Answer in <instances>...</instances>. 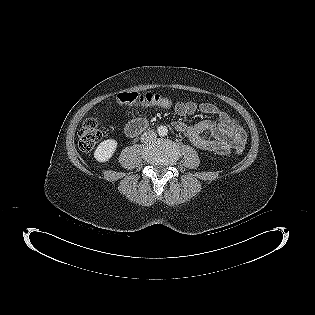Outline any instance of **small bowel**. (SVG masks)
Masks as SVG:
<instances>
[{
    "mask_svg": "<svg viewBox=\"0 0 315 315\" xmlns=\"http://www.w3.org/2000/svg\"><path fill=\"white\" fill-rule=\"evenodd\" d=\"M173 108L179 116L192 115L199 111L216 117L214 121L203 120L191 126L182 121L173 122L174 128L185 134L195 147L224 155L230 153L232 148L244 146L247 135L243 127L228 112L216 105L186 101L173 104Z\"/></svg>",
    "mask_w": 315,
    "mask_h": 315,
    "instance_id": "c3829d8e",
    "label": "small bowel"
}]
</instances>
